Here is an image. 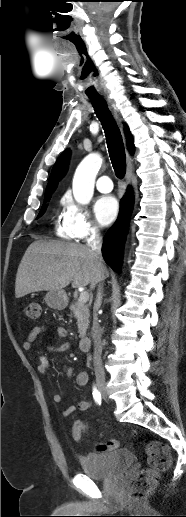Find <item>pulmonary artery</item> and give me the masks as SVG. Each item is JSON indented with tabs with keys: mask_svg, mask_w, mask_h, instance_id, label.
I'll use <instances>...</instances> for the list:
<instances>
[{
	"mask_svg": "<svg viewBox=\"0 0 186 517\" xmlns=\"http://www.w3.org/2000/svg\"><path fill=\"white\" fill-rule=\"evenodd\" d=\"M96 188L98 191H100L102 193L111 192L113 189V184H112L111 179L106 175L100 176L96 181Z\"/></svg>",
	"mask_w": 186,
	"mask_h": 517,
	"instance_id": "obj_1",
	"label": "pulmonary artery"
}]
</instances>
